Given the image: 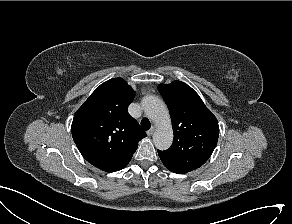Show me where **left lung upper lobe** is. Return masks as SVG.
Instances as JSON below:
<instances>
[{
  "instance_id": "5c2ea615",
  "label": "left lung upper lobe",
  "mask_w": 292,
  "mask_h": 224,
  "mask_svg": "<svg viewBox=\"0 0 292 224\" xmlns=\"http://www.w3.org/2000/svg\"><path fill=\"white\" fill-rule=\"evenodd\" d=\"M158 89L168 105L174 132L171 147L158 150L162 163L170 171L180 174L201 167L218 141L216 117L184 82L159 84Z\"/></svg>"
}]
</instances>
